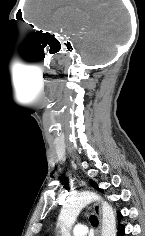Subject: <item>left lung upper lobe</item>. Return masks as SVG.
Segmentation results:
<instances>
[{
	"label": "left lung upper lobe",
	"instance_id": "left-lung-upper-lobe-1",
	"mask_svg": "<svg viewBox=\"0 0 145 236\" xmlns=\"http://www.w3.org/2000/svg\"><path fill=\"white\" fill-rule=\"evenodd\" d=\"M91 185H92L95 189H97V190H99V191L102 192V190L97 186V184H96L94 181H91Z\"/></svg>",
	"mask_w": 145,
	"mask_h": 236
}]
</instances>
